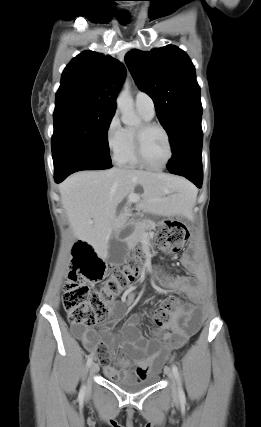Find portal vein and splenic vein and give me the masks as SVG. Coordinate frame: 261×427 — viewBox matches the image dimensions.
<instances>
[{"label":"portal vein and splenic vein","mask_w":261,"mask_h":427,"mask_svg":"<svg viewBox=\"0 0 261 427\" xmlns=\"http://www.w3.org/2000/svg\"><path fill=\"white\" fill-rule=\"evenodd\" d=\"M139 200H140V197L137 194L132 193L128 196V203H135V202H138Z\"/></svg>","instance_id":"portal-vein-and-splenic-vein-1"}]
</instances>
